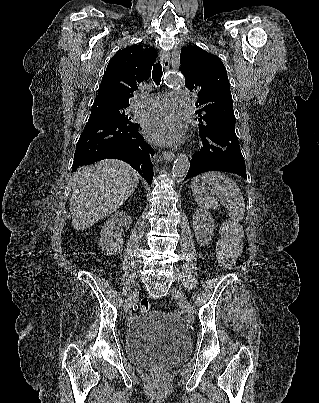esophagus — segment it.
<instances>
[{"label":"esophagus","instance_id":"obj_1","mask_svg":"<svg viewBox=\"0 0 319 403\" xmlns=\"http://www.w3.org/2000/svg\"><path fill=\"white\" fill-rule=\"evenodd\" d=\"M160 57L162 61L163 68L167 70L170 65V53L167 51H161ZM164 159L167 161H172L175 158V154L173 152L165 151L163 152Z\"/></svg>","mask_w":319,"mask_h":403}]
</instances>
